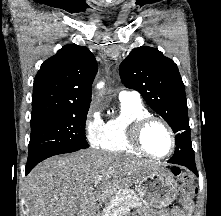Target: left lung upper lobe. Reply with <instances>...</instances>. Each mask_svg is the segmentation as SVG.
<instances>
[{"label": "left lung upper lobe", "instance_id": "1", "mask_svg": "<svg viewBox=\"0 0 221 216\" xmlns=\"http://www.w3.org/2000/svg\"><path fill=\"white\" fill-rule=\"evenodd\" d=\"M119 73L122 83L137 90L171 126L176 146L192 149L184 84L173 60L155 48L139 47L124 59Z\"/></svg>", "mask_w": 221, "mask_h": 216}]
</instances>
